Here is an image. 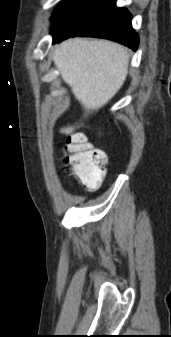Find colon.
<instances>
[{"mask_svg": "<svg viewBox=\"0 0 171 337\" xmlns=\"http://www.w3.org/2000/svg\"><path fill=\"white\" fill-rule=\"evenodd\" d=\"M64 152L63 164L67 173L77 178L88 189H98L106 175V153L95 148L81 133L67 138Z\"/></svg>", "mask_w": 171, "mask_h": 337, "instance_id": "1", "label": "colon"}]
</instances>
